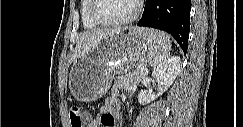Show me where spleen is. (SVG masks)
Here are the masks:
<instances>
[{"instance_id":"3e777b00","label":"spleen","mask_w":243,"mask_h":127,"mask_svg":"<svg viewBox=\"0 0 243 127\" xmlns=\"http://www.w3.org/2000/svg\"><path fill=\"white\" fill-rule=\"evenodd\" d=\"M150 38L154 43V49L150 55L149 64L157 68L169 58L171 42L169 36L160 31L151 32Z\"/></svg>"}]
</instances>
